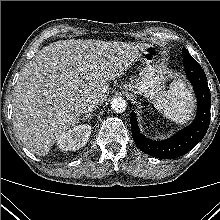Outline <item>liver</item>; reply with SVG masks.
Segmentation results:
<instances>
[{
	"label": "liver",
	"mask_w": 220,
	"mask_h": 220,
	"mask_svg": "<svg viewBox=\"0 0 220 220\" xmlns=\"http://www.w3.org/2000/svg\"><path fill=\"white\" fill-rule=\"evenodd\" d=\"M146 46L119 41L63 40L43 47L25 64L14 89L13 125L32 153L44 156L80 120L81 103L104 102L108 81L138 60Z\"/></svg>",
	"instance_id": "6515ba94"
}]
</instances>
